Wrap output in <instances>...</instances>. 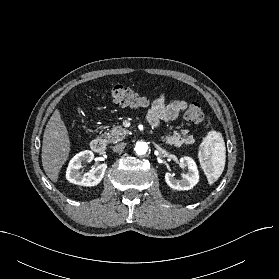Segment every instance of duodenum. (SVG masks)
<instances>
[{"instance_id":"duodenum-1","label":"duodenum","mask_w":279,"mask_h":279,"mask_svg":"<svg viewBox=\"0 0 279 279\" xmlns=\"http://www.w3.org/2000/svg\"><path fill=\"white\" fill-rule=\"evenodd\" d=\"M91 149L96 153H102L106 149V142L102 138H95L91 141Z\"/></svg>"}]
</instances>
